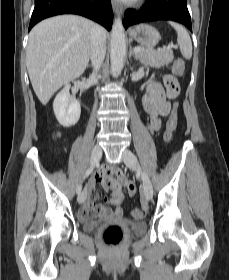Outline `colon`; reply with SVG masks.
<instances>
[{
  "mask_svg": "<svg viewBox=\"0 0 229 280\" xmlns=\"http://www.w3.org/2000/svg\"><path fill=\"white\" fill-rule=\"evenodd\" d=\"M177 65V70L181 71L182 70V65L184 64L183 59H179ZM164 85L166 87V90L169 94V96L172 99H175L178 95L179 91V85L177 79L173 75H165L163 78ZM177 106L178 103H174V110L167 119L166 122V127H165V133H164V138L167 141H170L173 139L177 127H178V115H177ZM122 177L120 175H109L106 178V184L109 185L110 183H116V182H121ZM133 215L137 218H141L144 216V212L140 210L139 208L134 209ZM123 233L120 227L118 226H109L106 228V230L103 233V239L106 244L108 245H116L120 242L122 239Z\"/></svg>",
  "mask_w": 229,
  "mask_h": 280,
  "instance_id": "5ec220e1",
  "label": "colon"
}]
</instances>
